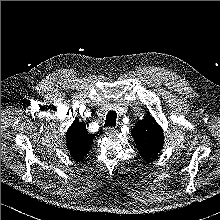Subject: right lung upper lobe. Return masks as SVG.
I'll return each instance as SVG.
<instances>
[{"mask_svg": "<svg viewBox=\"0 0 220 220\" xmlns=\"http://www.w3.org/2000/svg\"><path fill=\"white\" fill-rule=\"evenodd\" d=\"M94 134H90L84 122L76 119L66 133V142L70 154L76 160L82 159L91 149Z\"/></svg>", "mask_w": 220, "mask_h": 220, "instance_id": "obj_1", "label": "right lung upper lobe"}]
</instances>
